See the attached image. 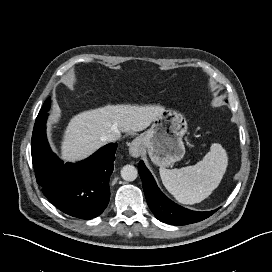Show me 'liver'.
<instances>
[{
    "label": "liver",
    "mask_w": 272,
    "mask_h": 272,
    "mask_svg": "<svg viewBox=\"0 0 272 272\" xmlns=\"http://www.w3.org/2000/svg\"><path fill=\"white\" fill-rule=\"evenodd\" d=\"M162 112L161 106L107 104L74 115L62 137L61 158L79 161L97 151L104 137L114 130L138 132L146 129Z\"/></svg>",
    "instance_id": "liver-1"
}]
</instances>
